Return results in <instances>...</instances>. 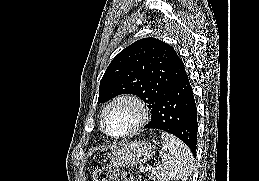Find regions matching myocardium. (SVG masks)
Instances as JSON below:
<instances>
[{"label":"myocardium","instance_id":"myocardium-1","mask_svg":"<svg viewBox=\"0 0 259 181\" xmlns=\"http://www.w3.org/2000/svg\"><path fill=\"white\" fill-rule=\"evenodd\" d=\"M120 103H128L132 105L137 112V119L134 125L131 128H129L127 131L120 134H112L106 128V116L112 107ZM148 119H149V111L145 102L137 95L126 93L112 98L106 104V106L104 107L100 115V126L102 131L107 136L114 139H122V138L132 136L137 131H139L148 122Z\"/></svg>","mask_w":259,"mask_h":181}]
</instances>
